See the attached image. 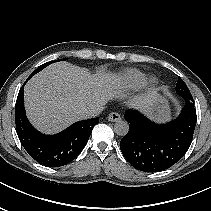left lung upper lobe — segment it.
Here are the masks:
<instances>
[{"label":"left lung upper lobe","instance_id":"5c2ea615","mask_svg":"<svg viewBox=\"0 0 211 211\" xmlns=\"http://www.w3.org/2000/svg\"><path fill=\"white\" fill-rule=\"evenodd\" d=\"M175 90L182 98L192 97L187 85L180 77L178 78Z\"/></svg>","mask_w":211,"mask_h":211}]
</instances>
